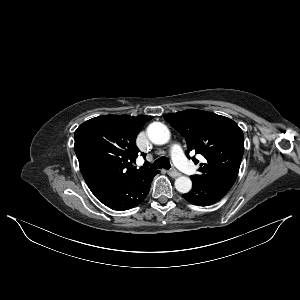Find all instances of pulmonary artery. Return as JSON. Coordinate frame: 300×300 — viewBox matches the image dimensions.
<instances>
[{
  "label": "pulmonary artery",
  "instance_id": "e3ab8cb5",
  "mask_svg": "<svg viewBox=\"0 0 300 300\" xmlns=\"http://www.w3.org/2000/svg\"><path fill=\"white\" fill-rule=\"evenodd\" d=\"M170 155L175 162V164L185 173L187 174H195L197 172V168L195 164L189 161L182 152V149L179 145H173L170 150Z\"/></svg>",
  "mask_w": 300,
  "mask_h": 300
}]
</instances>
